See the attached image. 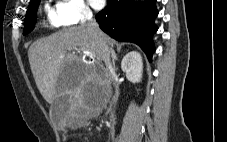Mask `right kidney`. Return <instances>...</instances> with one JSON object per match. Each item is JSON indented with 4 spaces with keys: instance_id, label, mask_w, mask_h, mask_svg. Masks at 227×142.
<instances>
[{
    "instance_id": "ca27d5eb",
    "label": "right kidney",
    "mask_w": 227,
    "mask_h": 142,
    "mask_svg": "<svg viewBox=\"0 0 227 142\" xmlns=\"http://www.w3.org/2000/svg\"><path fill=\"white\" fill-rule=\"evenodd\" d=\"M121 69L126 78L132 83H138L142 78L143 63L141 55L132 51L124 56L121 62Z\"/></svg>"
}]
</instances>
